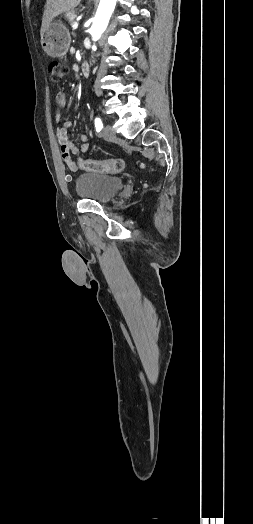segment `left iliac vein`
<instances>
[{"label":"left iliac vein","instance_id":"1","mask_svg":"<svg viewBox=\"0 0 253 524\" xmlns=\"http://www.w3.org/2000/svg\"><path fill=\"white\" fill-rule=\"evenodd\" d=\"M103 138L106 140H112L116 137L115 131L110 124L104 126L102 130Z\"/></svg>","mask_w":253,"mask_h":524}]
</instances>
